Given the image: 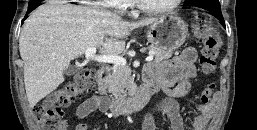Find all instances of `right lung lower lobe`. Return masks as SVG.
<instances>
[{
	"instance_id": "98d812e1",
	"label": "right lung lower lobe",
	"mask_w": 257,
	"mask_h": 130,
	"mask_svg": "<svg viewBox=\"0 0 257 130\" xmlns=\"http://www.w3.org/2000/svg\"><path fill=\"white\" fill-rule=\"evenodd\" d=\"M40 5V2H38V6ZM37 6V7H38ZM37 7H28V13L29 12H31L32 10H34L35 8H37ZM27 17L25 16V18L24 19H26Z\"/></svg>"
}]
</instances>
